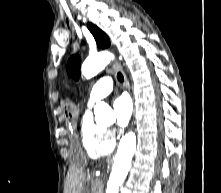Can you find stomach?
<instances>
[{
	"instance_id": "stomach-1",
	"label": "stomach",
	"mask_w": 221,
	"mask_h": 193,
	"mask_svg": "<svg viewBox=\"0 0 221 193\" xmlns=\"http://www.w3.org/2000/svg\"><path fill=\"white\" fill-rule=\"evenodd\" d=\"M60 109H62V115H64L65 123H77L79 107L75 98H62L60 102ZM70 152L73 159H70L71 167H85L86 166V154H82L81 147H70ZM93 189L87 180L83 183L80 193H92Z\"/></svg>"
}]
</instances>
